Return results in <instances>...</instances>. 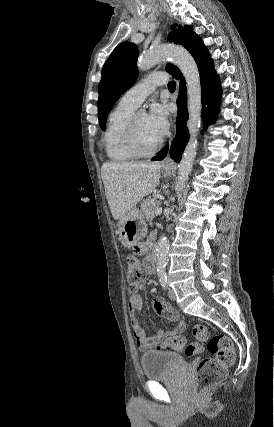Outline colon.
<instances>
[{
	"label": "colon",
	"mask_w": 274,
	"mask_h": 427,
	"mask_svg": "<svg viewBox=\"0 0 274 427\" xmlns=\"http://www.w3.org/2000/svg\"><path fill=\"white\" fill-rule=\"evenodd\" d=\"M131 254L127 256V276L130 291L135 292L143 277L142 267L135 257L140 254L139 246L131 247ZM135 255V256H134ZM192 334L199 344L207 347L210 357H205L198 362L196 386L193 387L194 395H205L207 389L221 384L226 376L229 366L234 363L235 349L229 339L222 334L210 336L205 324H196L192 327ZM159 350H175L185 357L195 356L197 345L188 343L183 337H168L158 342Z\"/></svg>",
	"instance_id": "1"
}]
</instances>
